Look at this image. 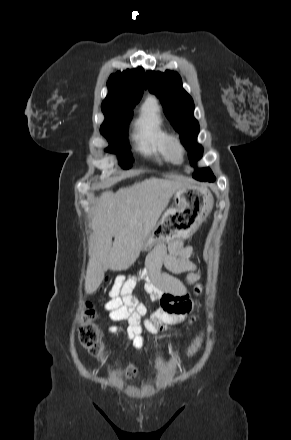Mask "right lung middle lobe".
Wrapping results in <instances>:
<instances>
[{"label":"right lung middle lobe","instance_id":"dd1d6c3e","mask_svg":"<svg viewBox=\"0 0 291 440\" xmlns=\"http://www.w3.org/2000/svg\"><path fill=\"white\" fill-rule=\"evenodd\" d=\"M131 110L132 108L102 110L105 121L100 127V132L110 144L106 151L118 155L119 164L123 169H129L133 160L127 141L128 124L133 115Z\"/></svg>","mask_w":291,"mask_h":440}]
</instances>
